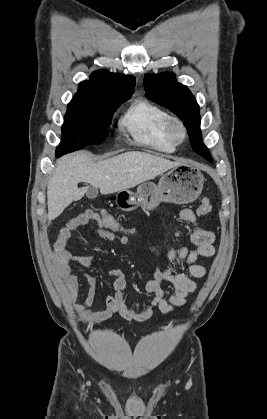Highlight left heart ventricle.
Wrapping results in <instances>:
<instances>
[{
	"label": "left heart ventricle",
	"instance_id": "obj_1",
	"mask_svg": "<svg viewBox=\"0 0 267 419\" xmlns=\"http://www.w3.org/2000/svg\"><path fill=\"white\" fill-rule=\"evenodd\" d=\"M175 134H176V136H178V137H179V136H180V134H181V133H180V130H179V129H176V130H175Z\"/></svg>",
	"mask_w": 267,
	"mask_h": 419
}]
</instances>
